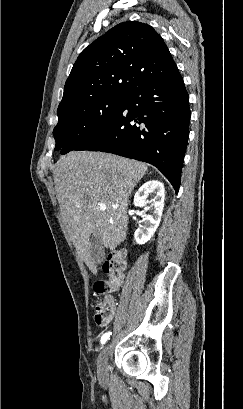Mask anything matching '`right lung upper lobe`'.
<instances>
[{
	"mask_svg": "<svg viewBox=\"0 0 243 409\" xmlns=\"http://www.w3.org/2000/svg\"><path fill=\"white\" fill-rule=\"evenodd\" d=\"M177 69L163 39L150 25L120 23L80 53L58 110L97 97L127 96Z\"/></svg>",
	"mask_w": 243,
	"mask_h": 409,
	"instance_id": "cb5924a9",
	"label": "right lung upper lobe"
}]
</instances>
